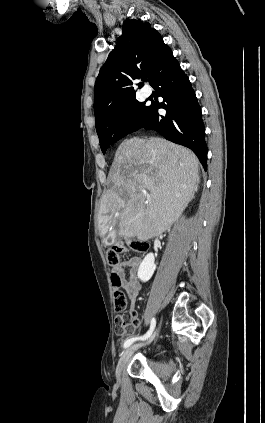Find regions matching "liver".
I'll return each mask as SVG.
<instances>
[{
	"mask_svg": "<svg viewBox=\"0 0 265 423\" xmlns=\"http://www.w3.org/2000/svg\"><path fill=\"white\" fill-rule=\"evenodd\" d=\"M110 177L113 186L100 199V236L118 223L119 237L147 240L169 229L194 197L199 160L164 139L134 137L118 147Z\"/></svg>",
	"mask_w": 265,
	"mask_h": 423,
	"instance_id": "obj_1",
	"label": "liver"
}]
</instances>
